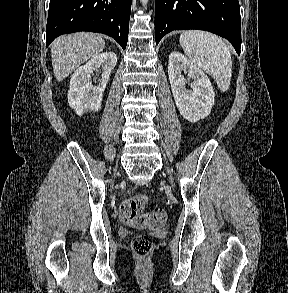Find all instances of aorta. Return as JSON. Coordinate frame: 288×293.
Listing matches in <instances>:
<instances>
[{"instance_id": "aorta-1", "label": "aorta", "mask_w": 288, "mask_h": 293, "mask_svg": "<svg viewBox=\"0 0 288 293\" xmlns=\"http://www.w3.org/2000/svg\"><path fill=\"white\" fill-rule=\"evenodd\" d=\"M140 1L144 6L147 5V3H148V0H140Z\"/></svg>"}]
</instances>
